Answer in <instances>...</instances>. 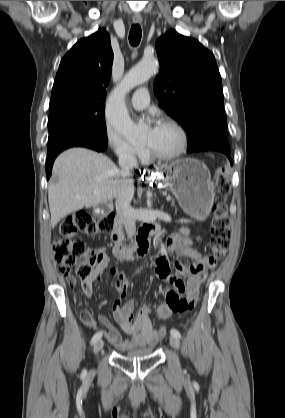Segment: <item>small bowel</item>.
Wrapping results in <instances>:
<instances>
[{
    "instance_id": "1",
    "label": "small bowel",
    "mask_w": 285,
    "mask_h": 418,
    "mask_svg": "<svg viewBox=\"0 0 285 418\" xmlns=\"http://www.w3.org/2000/svg\"><path fill=\"white\" fill-rule=\"evenodd\" d=\"M188 241L187 234L171 235L166 239L165 247L184 258L196 261L195 264L183 266L177 262H170L166 257L157 259L155 262L157 277L170 285L165 294V301L156 310V317L160 320L168 319L174 313L186 311L188 303H194L197 300L200 287L206 278L205 263L207 258L189 248ZM106 272L116 278L115 286L120 293L111 310L121 329L131 336L129 341L122 340L112 321L106 315L99 314L98 320L107 329L108 341L121 351H128L133 347L141 348L154 345L157 342V337L151 323L150 309L142 307L137 314H134L133 301H124L127 296V279L118 267L110 265L108 259H104L96 265L91 276L82 280L85 294L92 295L93 283L102 282ZM66 279L68 284L72 281L71 287L76 284L72 275H66ZM80 317L86 326L91 328L95 326V321L88 310H82Z\"/></svg>"
}]
</instances>
